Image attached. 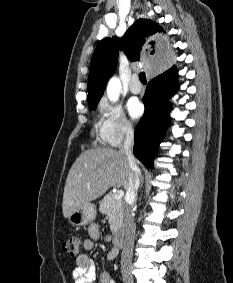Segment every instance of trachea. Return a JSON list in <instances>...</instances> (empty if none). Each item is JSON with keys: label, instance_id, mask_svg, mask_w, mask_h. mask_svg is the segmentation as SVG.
<instances>
[{"label": "trachea", "instance_id": "obj_1", "mask_svg": "<svg viewBox=\"0 0 233 283\" xmlns=\"http://www.w3.org/2000/svg\"><path fill=\"white\" fill-rule=\"evenodd\" d=\"M139 79H140V81L142 82V83H146L147 81H146V76H145V73L144 72H142V73H140L139 74Z\"/></svg>", "mask_w": 233, "mask_h": 283}]
</instances>
